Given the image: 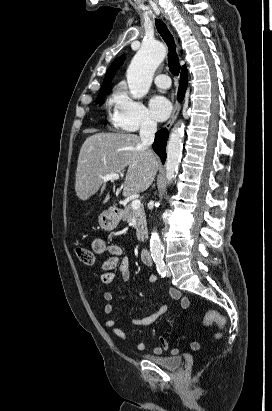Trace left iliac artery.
Returning <instances> with one entry per match:
<instances>
[{"label":"left iliac artery","mask_w":272,"mask_h":411,"mask_svg":"<svg viewBox=\"0 0 272 411\" xmlns=\"http://www.w3.org/2000/svg\"><path fill=\"white\" fill-rule=\"evenodd\" d=\"M154 262L156 263L158 273L162 277H165L166 271H165V264H164L163 258H156V259H154Z\"/></svg>","instance_id":"1"}]
</instances>
